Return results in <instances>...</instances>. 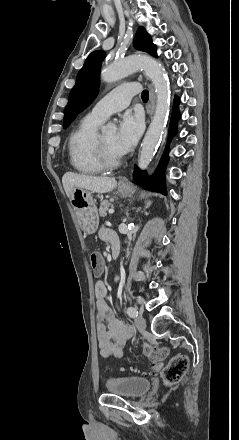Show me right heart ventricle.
I'll return each instance as SVG.
<instances>
[{"instance_id":"e07e8e85","label":"right heart ventricle","mask_w":239,"mask_h":440,"mask_svg":"<svg viewBox=\"0 0 239 440\" xmlns=\"http://www.w3.org/2000/svg\"><path fill=\"white\" fill-rule=\"evenodd\" d=\"M99 123L87 115L69 135L67 145L69 162L79 173L98 174L103 171L94 152Z\"/></svg>"}]
</instances>
